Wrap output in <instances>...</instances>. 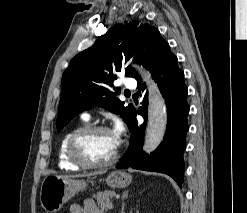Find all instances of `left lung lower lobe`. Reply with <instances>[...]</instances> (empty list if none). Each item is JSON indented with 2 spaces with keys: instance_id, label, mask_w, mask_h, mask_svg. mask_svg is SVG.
<instances>
[{
  "instance_id": "left-lung-lower-lobe-1",
  "label": "left lung lower lobe",
  "mask_w": 247,
  "mask_h": 213,
  "mask_svg": "<svg viewBox=\"0 0 247 213\" xmlns=\"http://www.w3.org/2000/svg\"><path fill=\"white\" fill-rule=\"evenodd\" d=\"M153 78L158 84L167 106V129L163 142L150 155L142 151L144 145V132L147 124V96L144 94L143 106L138 114L144 118V123L138 125L136 110L128 124L131 139L128 150L117 168H134L145 171H154L168 174L181 187L183 181L185 150V136L188 131L187 115V87L184 83V73L178 67L177 57L171 54L167 59L159 62L150 69ZM138 88L144 92L145 84ZM140 92V91H139Z\"/></svg>"
}]
</instances>
